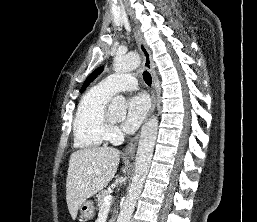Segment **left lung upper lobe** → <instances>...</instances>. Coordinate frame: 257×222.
Instances as JSON below:
<instances>
[{"label":"left lung upper lobe","instance_id":"5c2ea615","mask_svg":"<svg viewBox=\"0 0 257 222\" xmlns=\"http://www.w3.org/2000/svg\"><path fill=\"white\" fill-rule=\"evenodd\" d=\"M104 67H99L98 69H96L93 73H91L87 79L85 80L82 88H81V92H83L85 90V88L103 71Z\"/></svg>","mask_w":257,"mask_h":222}]
</instances>
